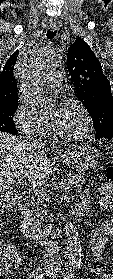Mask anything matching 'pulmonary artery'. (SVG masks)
Returning <instances> with one entry per match:
<instances>
[{
	"label": "pulmonary artery",
	"instance_id": "e3ab8cb5",
	"mask_svg": "<svg viewBox=\"0 0 113 279\" xmlns=\"http://www.w3.org/2000/svg\"><path fill=\"white\" fill-rule=\"evenodd\" d=\"M62 78V74L60 73H51L47 76L45 81V88L51 92H55L60 87V80Z\"/></svg>",
	"mask_w": 113,
	"mask_h": 279
}]
</instances>
